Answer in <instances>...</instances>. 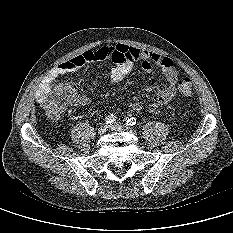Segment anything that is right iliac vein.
<instances>
[{
	"mask_svg": "<svg viewBox=\"0 0 233 233\" xmlns=\"http://www.w3.org/2000/svg\"><path fill=\"white\" fill-rule=\"evenodd\" d=\"M107 128H108V126L107 125H101L99 128H98V133L100 134V135H103V134H105L106 133V131H107Z\"/></svg>",
	"mask_w": 233,
	"mask_h": 233,
	"instance_id": "1",
	"label": "right iliac vein"
}]
</instances>
